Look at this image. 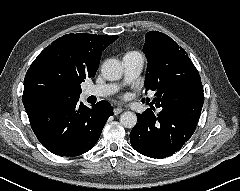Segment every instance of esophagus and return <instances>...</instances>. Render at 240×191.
<instances>
[{"label": "esophagus", "instance_id": "esophagus-1", "mask_svg": "<svg viewBox=\"0 0 240 191\" xmlns=\"http://www.w3.org/2000/svg\"><path fill=\"white\" fill-rule=\"evenodd\" d=\"M122 111H123V108H121V107H119V106L114 108V114H115V115L120 114Z\"/></svg>", "mask_w": 240, "mask_h": 191}]
</instances>
